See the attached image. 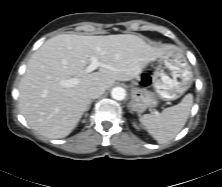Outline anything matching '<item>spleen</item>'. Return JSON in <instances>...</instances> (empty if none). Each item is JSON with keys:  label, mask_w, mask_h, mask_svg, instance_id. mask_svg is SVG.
Segmentation results:
<instances>
[{"label": "spleen", "mask_w": 222, "mask_h": 187, "mask_svg": "<svg viewBox=\"0 0 222 187\" xmlns=\"http://www.w3.org/2000/svg\"><path fill=\"white\" fill-rule=\"evenodd\" d=\"M192 105L193 95L187 94L179 104L168 107L159 114L143 115L141 123L159 144L167 143L184 127Z\"/></svg>", "instance_id": "1"}]
</instances>
